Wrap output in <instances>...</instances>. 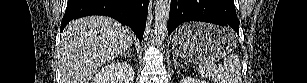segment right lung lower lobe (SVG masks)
Here are the masks:
<instances>
[{
	"label": "right lung lower lobe",
	"mask_w": 307,
	"mask_h": 83,
	"mask_svg": "<svg viewBox=\"0 0 307 83\" xmlns=\"http://www.w3.org/2000/svg\"><path fill=\"white\" fill-rule=\"evenodd\" d=\"M148 4L149 0H68L61 31L72 19L89 15H105L128 25L141 42Z\"/></svg>",
	"instance_id": "right-lung-lower-lobe-1"
}]
</instances>
